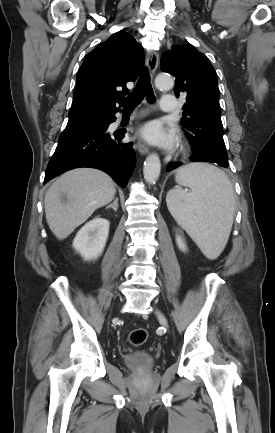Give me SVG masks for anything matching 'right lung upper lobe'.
I'll use <instances>...</instances> for the list:
<instances>
[{
    "instance_id": "cb5924a9",
    "label": "right lung upper lobe",
    "mask_w": 275,
    "mask_h": 433,
    "mask_svg": "<svg viewBox=\"0 0 275 433\" xmlns=\"http://www.w3.org/2000/svg\"><path fill=\"white\" fill-rule=\"evenodd\" d=\"M144 65L143 47L125 31L114 33L85 58L77 73L69 119L118 112Z\"/></svg>"
}]
</instances>
